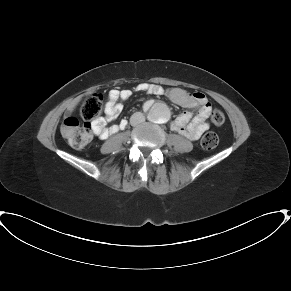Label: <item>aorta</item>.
Segmentation results:
<instances>
[{"label":"aorta","instance_id":"obj_1","mask_svg":"<svg viewBox=\"0 0 291 291\" xmlns=\"http://www.w3.org/2000/svg\"><path fill=\"white\" fill-rule=\"evenodd\" d=\"M148 118L154 123H166L170 118L169 108L163 103H155L149 110Z\"/></svg>","mask_w":291,"mask_h":291}]
</instances>
